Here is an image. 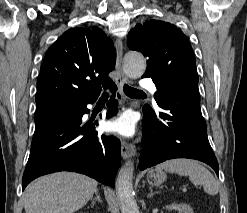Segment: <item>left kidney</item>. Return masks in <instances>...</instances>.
<instances>
[{
	"instance_id": "5707ae66",
	"label": "left kidney",
	"mask_w": 247,
	"mask_h": 213,
	"mask_svg": "<svg viewBox=\"0 0 247 213\" xmlns=\"http://www.w3.org/2000/svg\"><path fill=\"white\" fill-rule=\"evenodd\" d=\"M167 210L177 209L179 213H194L193 209L188 204H171L166 206Z\"/></svg>"
}]
</instances>
